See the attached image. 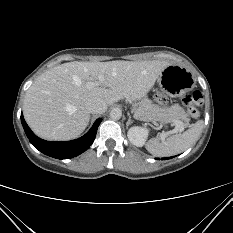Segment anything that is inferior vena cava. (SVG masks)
I'll use <instances>...</instances> for the list:
<instances>
[{"label": "inferior vena cava", "instance_id": "1", "mask_svg": "<svg viewBox=\"0 0 233 233\" xmlns=\"http://www.w3.org/2000/svg\"><path fill=\"white\" fill-rule=\"evenodd\" d=\"M86 110L92 114H101L107 110V104L103 101L90 99L85 104Z\"/></svg>", "mask_w": 233, "mask_h": 233}]
</instances>
